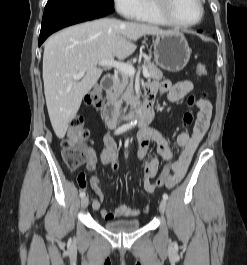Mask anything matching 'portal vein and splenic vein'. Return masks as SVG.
<instances>
[{"label": "portal vein and splenic vein", "mask_w": 247, "mask_h": 265, "mask_svg": "<svg viewBox=\"0 0 247 265\" xmlns=\"http://www.w3.org/2000/svg\"><path fill=\"white\" fill-rule=\"evenodd\" d=\"M99 65L105 66V67H114L115 69H118L119 71H121L125 75H134L135 74V69L130 64H125V63L114 61V60H103L99 63ZM84 73H85V69H83L78 74H76L74 76V79L77 80V79L82 78ZM143 73L146 77H150L147 68L144 66H143Z\"/></svg>", "instance_id": "obj_1"}]
</instances>
